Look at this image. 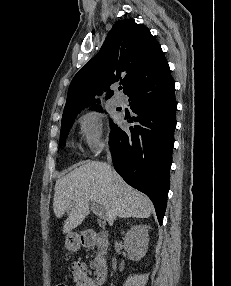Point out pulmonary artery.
Masks as SVG:
<instances>
[{"mask_svg":"<svg viewBox=\"0 0 231 286\" xmlns=\"http://www.w3.org/2000/svg\"><path fill=\"white\" fill-rule=\"evenodd\" d=\"M113 104L117 107L123 106L124 99L119 95H115L113 98Z\"/></svg>","mask_w":231,"mask_h":286,"instance_id":"obj_1","label":"pulmonary artery"}]
</instances>
